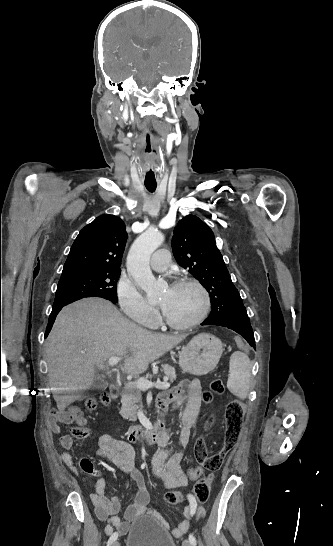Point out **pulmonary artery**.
Segmentation results:
<instances>
[{"label":"pulmonary artery","mask_w":333,"mask_h":546,"mask_svg":"<svg viewBox=\"0 0 333 546\" xmlns=\"http://www.w3.org/2000/svg\"><path fill=\"white\" fill-rule=\"evenodd\" d=\"M170 264V252L166 249L157 250L151 257L150 266L153 270L165 271Z\"/></svg>","instance_id":"pulmonary-artery-1"}]
</instances>
